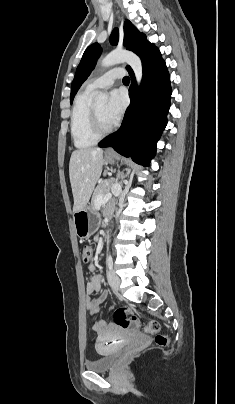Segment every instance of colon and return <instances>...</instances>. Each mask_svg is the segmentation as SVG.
<instances>
[{
	"mask_svg": "<svg viewBox=\"0 0 235 404\" xmlns=\"http://www.w3.org/2000/svg\"><path fill=\"white\" fill-rule=\"evenodd\" d=\"M93 250L90 246H84L82 249V259L85 263L92 260ZM114 321L117 326L122 329L134 326L139 327L142 331L154 335V340L156 345L160 347H165L168 344V337L160 334V326L157 322L151 321L147 324H141L136 317H128L127 311L125 309H118L114 313Z\"/></svg>",
	"mask_w": 235,
	"mask_h": 404,
	"instance_id": "5ec220e1",
	"label": "colon"
}]
</instances>
